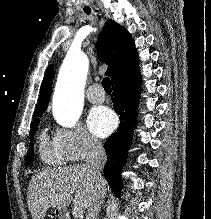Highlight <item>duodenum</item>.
I'll return each mask as SVG.
<instances>
[{
	"instance_id": "1",
	"label": "duodenum",
	"mask_w": 211,
	"mask_h": 219,
	"mask_svg": "<svg viewBox=\"0 0 211 219\" xmlns=\"http://www.w3.org/2000/svg\"><path fill=\"white\" fill-rule=\"evenodd\" d=\"M58 216L60 219H71L68 211L65 209H59Z\"/></svg>"
}]
</instances>
